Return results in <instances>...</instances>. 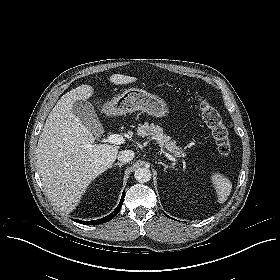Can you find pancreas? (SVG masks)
I'll return each instance as SVG.
<instances>
[{"instance_id":"cf45deb5","label":"pancreas","mask_w":280,"mask_h":280,"mask_svg":"<svg viewBox=\"0 0 280 280\" xmlns=\"http://www.w3.org/2000/svg\"><path fill=\"white\" fill-rule=\"evenodd\" d=\"M137 135L140 137H149L155 139L162 148L166 149L175 157H181L185 155L184 150L176 145V141H172L171 137L163 133V129L158 125L148 124L147 122L143 125L139 124Z\"/></svg>"}]
</instances>
